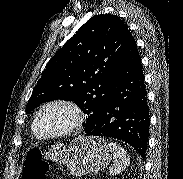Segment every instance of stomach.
I'll list each match as a JSON object with an SVG mask.
<instances>
[{"label": "stomach", "instance_id": "stomach-1", "mask_svg": "<svg viewBox=\"0 0 183 179\" xmlns=\"http://www.w3.org/2000/svg\"><path fill=\"white\" fill-rule=\"evenodd\" d=\"M45 156L49 160L66 164L70 173L75 176L101 171L112 159L105 140L93 135L78 137L68 146L55 143Z\"/></svg>", "mask_w": 183, "mask_h": 179}]
</instances>
